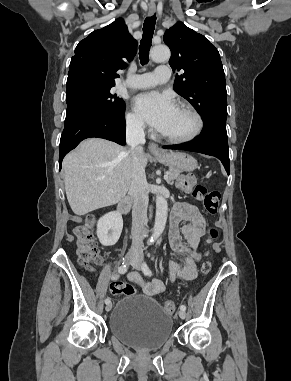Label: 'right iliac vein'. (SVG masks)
Wrapping results in <instances>:
<instances>
[{"label": "right iliac vein", "instance_id": "1", "mask_svg": "<svg viewBox=\"0 0 291 381\" xmlns=\"http://www.w3.org/2000/svg\"><path fill=\"white\" fill-rule=\"evenodd\" d=\"M136 258H137V257H136L135 254L129 253V254H127V255L125 256L123 263L126 264V265H128V264L134 262V261L136 260ZM111 309H112V303H108V304L106 305V307H105V310L108 312V311H110Z\"/></svg>", "mask_w": 291, "mask_h": 381}]
</instances>
